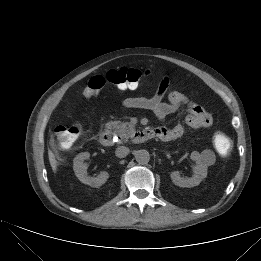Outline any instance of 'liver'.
I'll list each match as a JSON object with an SVG mask.
<instances>
[{"mask_svg":"<svg viewBox=\"0 0 261 261\" xmlns=\"http://www.w3.org/2000/svg\"><path fill=\"white\" fill-rule=\"evenodd\" d=\"M48 157H49V162H50V165L52 167V170L54 172H56V170H57V160H56L55 155L53 154V152L51 150H48Z\"/></svg>","mask_w":261,"mask_h":261,"instance_id":"6515ba94","label":"liver"}]
</instances>
